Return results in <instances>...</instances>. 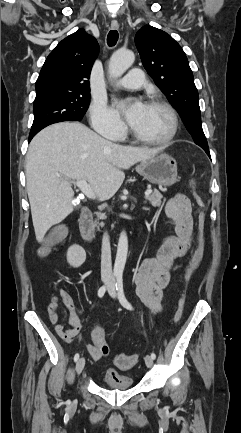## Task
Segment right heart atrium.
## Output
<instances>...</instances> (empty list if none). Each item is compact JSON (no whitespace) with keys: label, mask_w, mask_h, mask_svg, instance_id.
Masks as SVG:
<instances>
[{"label":"right heart atrium","mask_w":241,"mask_h":433,"mask_svg":"<svg viewBox=\"0 0 241 433\" xmlns=\"http://www.w3.org/2000/svg\"><path fill=\"white\" fill-rule=\"evenodd\" d=\"M90 120L97 133L112 140H120L126 131L120 117L101 100H96L91 105Z\"/></svg>","instance_id":"d8ad5b80"}]
</instances>
